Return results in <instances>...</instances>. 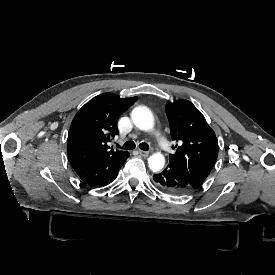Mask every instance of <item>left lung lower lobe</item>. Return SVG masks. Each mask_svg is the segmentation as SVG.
I'll use <instances>...</instances> for the list:
<instances>
[{"label": "left lung lower lobe", "instance_id": "1", "mask_svg": "<svg viewBox=\"0 0 275 275\" xmlns=\"http://www.w3.org/2000/svg\"><path fill=\"white\" fill-rule=\"evenodd\" d=\"M154 182L161 190L175 194H188L194 190L189 182L169 165L159 174L153 175Z\"/></svg>", "mask_w": 275, "mask_h": 275}]
</instances>
